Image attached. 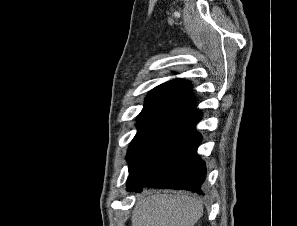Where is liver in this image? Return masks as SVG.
Instances as JSON below:
<instances>
[{
	"label": "liver",
	"instance_id": "liver-1",
	"mask_svg": "<svg viewBox=\"0 0 297 226\" xmlns=\"http://www.w3.org/2000/svg\"><path fill=\"white\" fill-rule=\"evenodd\" d=\"M203 214L202 202L188 195L143 196L132 213L131 226H194Z\"/></svg>",
	"mask_w": 297,
	"mask_h": 226
}]
</instances>
